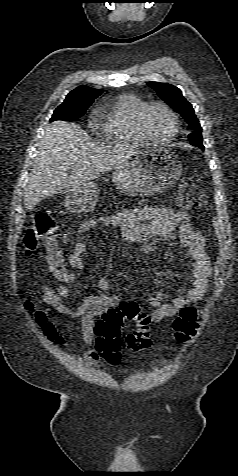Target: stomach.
Returning a JSON list of instances; mask_svg holds the SVG:
<instances>
[{"label":"stomach","instance_id":"obj_1","mask_svg":"<svg viewBox=\"0 0 238 476\" xmlns=\"http://www.w3.org/2000/svg\"><path fill=\"white\" fill-rule=\"evenodd\" d=\"M182 164L172 152L133 151V155L117 164L112 181L127 195H156L174 184L181 175ZM99 188L95 182L72 187L65 204L70 211H91L98 202Z\"/></svg>","mask_w":238,"mask_h":476}]
</instances>
